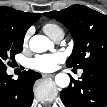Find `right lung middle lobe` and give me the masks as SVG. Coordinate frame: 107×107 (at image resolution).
Wrapping results in <instances>:
<instances>
[{"label": "right lung middle lobe", "mask_w": 107, "mask_h": 107, "mask_svg": "<svg viewBox=\"0 0 107 107\" xmlns=\"http://www.w3.org/2000/svg\"><path fill=\"white\" fill-rule=\"evenodd\" d=\"M24 35L0 20V69H7V59L22 51Z\"/></svg>", "instance_id": "1"}]
</instances>
